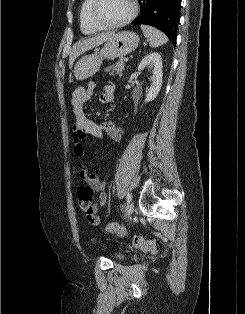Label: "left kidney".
<instances>
[{"mask_svg":"<svg viewBox=\"0 0 245 314\" xmlns=\"http://www.w3.org/2000/svg\"><path fill=\"white\" fill-rule=\"evenodd\" d=\"M146 66L153 68V75L151 77V86L148 89V94L146 96L145 102L153 101L162 86V59L159 53H150L146 55L138 66V71H142Z\"/></svg>","mask_w":245,"mask_h":314,"instance_id":"1","label":"left kidney"}]
</instances>
